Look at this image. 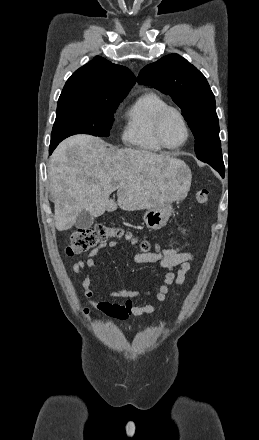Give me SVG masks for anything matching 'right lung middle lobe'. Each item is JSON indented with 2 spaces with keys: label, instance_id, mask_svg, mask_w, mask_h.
I'll return each instance as SVG.
<instances>
[{
  "label": "right lung middle lobe",
  "instance_id": "1",
  "mask_svg": "<svg viewBox=\"0 0 259 440\" xmlns=\"http://www.w3.org/2000/svg\"><path fill=\"white\" fill-rule=\"evenodd\" d=\"M122 100L95 102L77 98H59L51 142H60L74 134L109 136L113 113Z\"/></svg>",
  "mask_w": 259,
  "mask_h": 440
}]
</instances>
